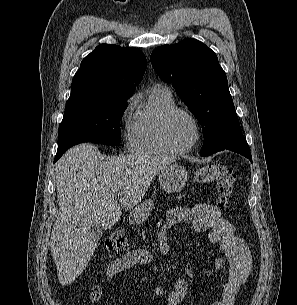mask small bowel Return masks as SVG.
<instances>
[{
	"instance_id": "c3829d8e",
	"label": "small bowel",
	"mask_w": 297,
	"mask_h": 305,
	"mask_svg": "<svg viewBox=\"0 0 297 305\" xmlns=\"http://www.w3.org/2000/svg\"><path fill=\"white\" fill-rule=\"evenodd\" d=\"M183 224L196 232L209 230L208 242L220 244L223 257L215 261V268L220 270L227 267L224 280L220 283V298L211 305H234L241 286L246 282L252 268V256L246 243L235 233L234 225L223 217L221 211L212 204L198 203L192 207H177L170 209L165 218L163 229L158 235V246L162 253L171 251L166 230ZM152 254L144 249L132 250L114 260L106 270V280L110 282L117 274L129 270L137 265L150 264ZM187 284L183 280L174 283L173 290L167 294L166 305H180L187 294ZM152 293L161 297L166 294L163 287H154ZM104 294L100 285L93 286L90 292V302H98Z\"/></svg>"
}]
</instances>
